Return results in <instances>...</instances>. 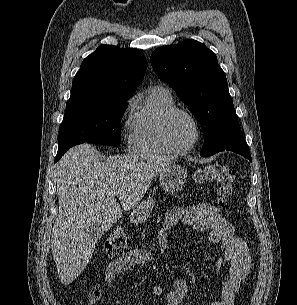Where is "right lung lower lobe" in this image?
<instances>
[{
    "instance_id": "1",
    "label": "right lung lower lobe",
    "mask_w": 297,
    "mask_h": 305,
    "mask_svg": "<svg viewBox=\"0 0 297 305\" xmlns=\"http://www.w3.org/2000/svg\"><path fill=\"white\" fill-rule=\"evenodd\" d=\"M65 153V151H58L57 152V155H56V158H55V162H57L61 157L62 155Z\"/></svg>"
}]
</instances>
